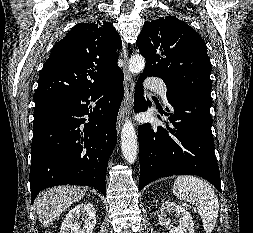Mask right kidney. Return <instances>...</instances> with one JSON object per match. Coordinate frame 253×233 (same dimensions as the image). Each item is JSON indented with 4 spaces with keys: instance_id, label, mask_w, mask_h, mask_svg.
I'll list each match as a JSON object with an SVG mask.
<instances>
[{
    "instance_id": "ca27d5eb",
    "label": "right kidney",
    "mask_w": 253,
    "mask_h": 233,
    "mask_svg": "<svg viewBox=\"0 0 253 233\" xmlns=\"http://www.w3.org/2000/svg\"><path fill=\"white\" fill-rule=\"evenodd\" d=\"M82 221L84 224L82 225ZM96 224V211L91 203L72 208L62 222L60 233H92Z\"/></svg>"
}]
</instances>
